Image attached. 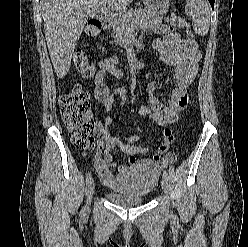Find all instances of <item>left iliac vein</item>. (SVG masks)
Listing matches in <instances>:
<instances>
[{"mask_svg":"<svg viewBox=\"0 0 248 247\" xmlns=\"http://www.w3.org/2000/svg\"><path fill=\"white\" fill-rule=\"evenodd\" d=\"M161 185H162V188L164 190V193L166 195L169 194L170 183H169V179L167 177H163Z\"/></svg>","mask_w":248,"mask_h":247,"instance_id":"left-iliac-vein-1","label":"left iliac vein"}]
</instances>
